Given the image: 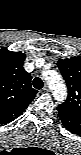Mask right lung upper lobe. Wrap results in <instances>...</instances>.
Segmentation results:
<instances>
[{
  "label": "right lung upper lobe",
  "mask_w": 81,
  "mask_h": 155,
  "mask_svg": "<svg viewBox=\"0 0 81 155\" xmlns=\"http://www.w3.org/2000/svg\"><path fill=\"white\" fill-rule=\"evenodd\" d=\"M25 54L0 50V123L6 124L20 116L35 98L31 75L23 68Z\"/></svg>",
  "instance_id": "obj_1"
}]
</instances>
